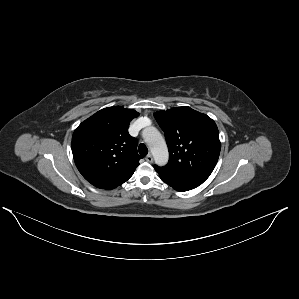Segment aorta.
<instances>
[{
  "label": "aorta",
  "instance_id": "obj_1",
  "mask_svg": "<svg viewBox=\"0 0 299 299\" xmlns=\"http://www.w3.org/2000/svg\"><path fill=\"white\" fill-rule=\"evenodd\" d=\"M144 139L149 145L155 163L164 166L168 162V149L161 133L154 127H148L143 132Z\"/></svg>",
  "mask_w": 299,
  "mask_h": 299
}]
</instances>
